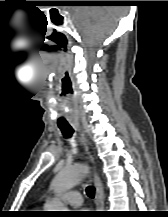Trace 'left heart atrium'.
Segmentation results:
<instances>
[{
    "label": "left heart atrium",
    "instance_id": "1",
    "mask_svg": "<svg viewBox=\"0 0 168 217\" xmlns=\"http://www.w3.org/2000/svg\"><path fill=\"white\" fill-rule=\"evenodd\" d=\"M84 215H86V213H84V212L77 213V217H83Z\"/></svg>",
    "mask_w": 168,
    "mask_h": 217
}]
</instances>
